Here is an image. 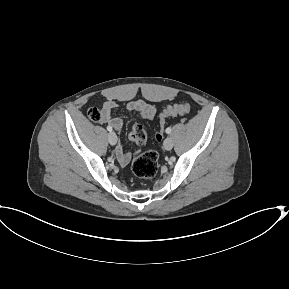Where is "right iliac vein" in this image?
<instances>
[{"instance_id": "right-iliac-vein-1", "label": "right iliac vein", "mask_w": 289, "mask_h": 289, "mask_svg": "<svg viewBox=\"0 0 289 289\" xmlns=\"http://www.w3.org/2000/svg\"><path fill=\"white\" fill-rule=\"evenodd\" d=\"M108 141L111 145H115L117 142V136L114 132H110L108 134Z\"/></svg>"}]
</instances>
